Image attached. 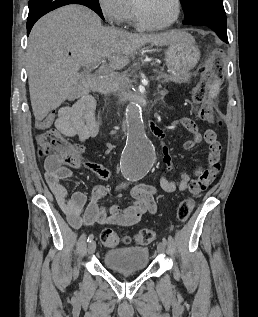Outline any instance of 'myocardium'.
<instances>
[{
  "mask_svg": "<svg viewBox=\"0 0 258 317\" xmlns=\"http://www.w3.org/2000/svg\"><path fill=\"white\" fill-rule=\"evenodd\" d=\"M151 1H153V0H139L135 4V7H134V20H135L136 25L140 29L148 31V32L162 31V30L170 28L171 26H173L177 22V20L179 19L180 14H181V3H180L179 0H171V1L174 2L175 6H176V14H175L174 18L169 23H167L165 25H161V26H158V27H146L143 24L142 20H141L140 13H141L142 7L146 3H149Z\"/></svg>",
  "mask_w": 258,
  "mask_h": 317,
  "instance_id": "1",
  "label": "myocardium"
}]
</instances>
